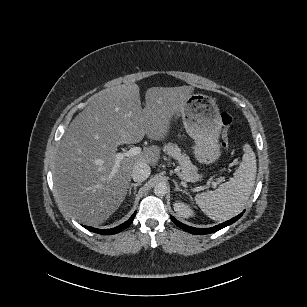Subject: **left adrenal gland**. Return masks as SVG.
Listing matches in <instances>:
<instances>
[{
    "label": "left adrenal gland",
    "mask_w": 307,
    "mask_h": 307,
    "mask_svg": "<svg viewBox=\"0 0 307 307\" xmlns=\"http://www.w3.org/2000/svg\"><path fill=\"white\" fill-rule=\"evenodd\" d=\"M173 183L175 184V191H182L183 193L187 194L185 190H182L181 188H179V185L175 180H173Z\"/></svg>",
    "instance_id": "a2214340"
}]
</instances>
